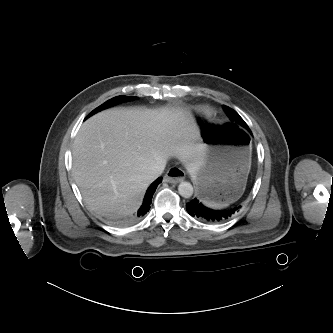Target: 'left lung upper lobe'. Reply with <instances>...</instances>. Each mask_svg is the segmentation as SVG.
Listing matches in <instances>:
<instances>
[{
	"mask_svg": "<svg viewBox=\"0 0 333 333\" xmlns=\"http://www.w3.org/2000/svg\"><path fill=\"white\" fill-rule=\"evenodd\" d=\"M223 108L234 127L240 129L242 132H247V131L251 132L248 125L235 110L225 105H223Z\"/></svg>",
	"mask_w": 333,
	"mask_h": 333,
	"instance_id": "left-lung-upper-lobe-1",
	"label": "left lung upper lobe"
}]
</instances>
